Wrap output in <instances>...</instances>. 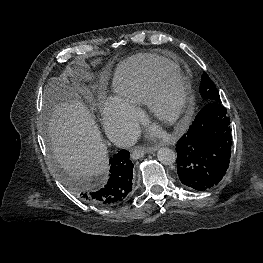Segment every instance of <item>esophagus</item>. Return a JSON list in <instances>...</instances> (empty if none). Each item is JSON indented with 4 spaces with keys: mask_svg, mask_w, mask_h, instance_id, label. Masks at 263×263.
<instances>
[{
    "mask_svg": "<svg viewBox=\"0 0 263 263\" xmlns=\"http://www.w3.org/2000/svg\"><path fill=\"white\" fill-rule=\"evenodd\" d=\"M158 149V147H149V148H141V147H135L131 150V156L134 160L140 159L144 156L145 153H152L155 152Z\"/></svg>",
    "mask_w": 263,
    "mask_h": 263,
    "instance_id": "esophagus-1",
    "label": "esophagus"
}]
</instances>
